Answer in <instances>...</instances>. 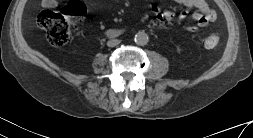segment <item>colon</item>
<instances>
[{
	"mask_svg": "<svg viewBox=\"0 0 253 138\" xmlns=\"http://www.w3.org/2000/svg\"><path fill=\"white\" fill-rule=\"evenodd\" d=\"M87 14V8L81 1L69 2L60 12L45 10L38 16V25L48 31L50 42L57 47L64 46L70 39L71 26L81 22ZM219 43V37L209 34L203 41L206 48Z\"/></svg>",
	"mask_w": 253,
	"mask_h": 138,
	"instance_id": "5ec220e1",
	"label": "colon"
}]
</instances>
